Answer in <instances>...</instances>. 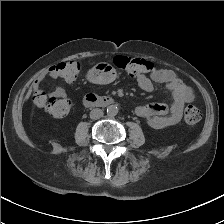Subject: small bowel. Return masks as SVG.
I'll return each mask as SVG.
<instances>
[{"label":"small bowel","instance_id":"obj_1","mask_svg":"<svg viewBox=\"0 0 224 224\" xmlns=\"http://www.w3.org/2000/svg\"><path fill=\"white\" fill-rule=\"evenodd\" d=\"M48 76L54 79L60 78V75L55 71V65L44 70L34 80L32 87L36 92L40 91L42 82ZM87 78L97 84H108L115 80L116 72L109 64L101 63L88 72ZM153 82L166 85L172 92L173 103L171 105L163 103L141 105L135 109V113L154 129L175 125L181 120L185 105L194 99L191 88L183 83L172 70L168 69H158L156 73L149 76L141 75L136 78L137 85L145 92L154 91ZM51 95L56 98L67 99L66 91L61 86H55Z\"/></svg>","mask_w":224,"mask_h":224}]
</instances>
